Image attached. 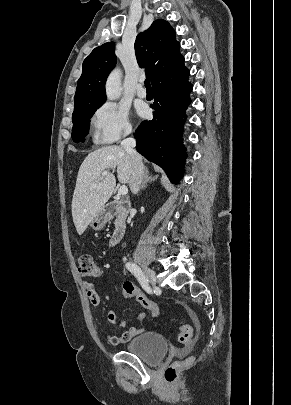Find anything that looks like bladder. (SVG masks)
I'll use <instances>...</instances> for the list:
<instances>
[{"label": "bladder", "instance_id": "1", "mask_svg": "<svg viewBox=\"0 0 291 405\" xmlns=\"http://www.w3.org/2000/svg\"><path fill=\"white\" fill-rule=\"evenodd\" d=\"M125 351L140 358L149 365H156L168 352L166 338L154 331H145L132 338L125 346Z\"/></svg>", "mask_w": 291, "mask_h": 405}]
</instances>
